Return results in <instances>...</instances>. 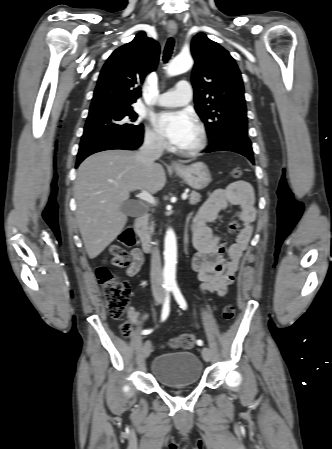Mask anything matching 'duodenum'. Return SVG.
Instances as JSON below:
<instances>
[{
	"label": "duodenum",
	"instance_id": "duodenum-1",
	"mask_svg": "<svg viewBox=\"0 0 332 449\" xmlns=\"http://www.w3.org/2000/svg\"><path fill=\"white\" fill-rule=\"evenodd\" d=\"M148 220V214L147 212H144L143 214L136 217L134 221V230L138 234L141 242V246L144 251H152L153 249V241L151 238V235L146 229V223Z\"/></svg>",
	"mask_w": 332,
	"mask_h": 449
}]
</instances>
